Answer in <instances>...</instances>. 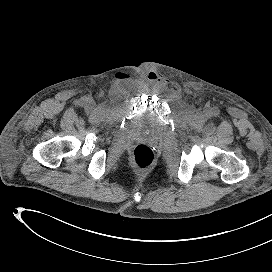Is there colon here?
I'll return each instance as SVG.
<instances>
[{"label":"colon","mask_w":272,"mask_h":272,"mask_svg":"<svg viewBox=\"0 0 272 272\" xmlns=\"http://www.w3.org/2000/svg\"><path fill=\"white\" fill-rule=\"evenodd\" d=\"M130 162L136 168H149L154 163V153L147 145H137L130 155Z\"/></svg>","instance_id":"5ec220e1"}]
</instances>
